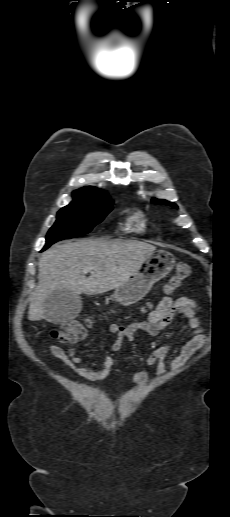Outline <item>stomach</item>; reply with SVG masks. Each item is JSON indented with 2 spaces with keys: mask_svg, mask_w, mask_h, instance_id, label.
<instances>
[{
  "mask_svg": "<svg viewBox=\"0 0 230 517\" xmlns=\"http://www.w3.org/2000/svg\"><path fill=\"white\" fill-rule=\"evenodd\" d=\"M175 258L164 250L152 253L126 283L115 289L110 297L122 305H131L142 299L152 285L164 278L174 267Z\"/></svg>",
  "mask_w": 230,
  "mask_h": 517,
  "instance_id": "obj_1",
  "label": "stomach"
}]
</instances>
